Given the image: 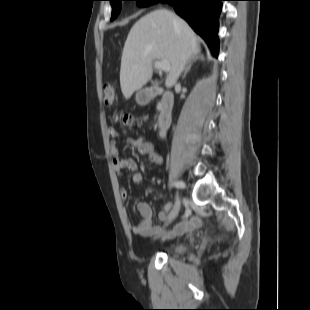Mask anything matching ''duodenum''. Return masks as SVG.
Wrapping results in <instances>:
<instances>
[{
    "label": "duodenum",
    "instance_id": "410a0bca",
    "mask_svg": "<svg viewBox=\"0 0 310 310\" xmlns=\"http://www.w3.org/2000/svg\"><path fill=\"white\" fill-rule=\"evenodd\" d=\"M155 96L160 97L156 131L157 135L162 138L172 122L174 98L170 91L154 89L151 94L144 95L143 99L150 101Z\"/></svg>",
    "mask_w": 310,
    "mask_h": 310
}]
</instances>
